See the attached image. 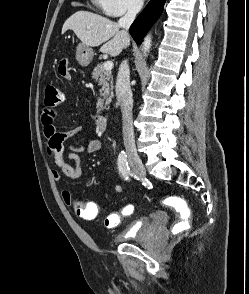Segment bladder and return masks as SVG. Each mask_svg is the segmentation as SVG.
<instances>
[{
	"label": "bladder",
	"instance_id": "31cf9c89",
	"mask_svg": "<svg viewBox=\"0 0 249 294\" xmlns=\"http://www.w3.org/2000/svg\"><path fill=\"white\" fill-rule=\"evenodd\" d=\"M166 221V216H156L155 218L139 217L127 230L119 233L115 239L121 243L129 240H142L143 238L149 237Z\"/></svg>",
	"mask_w": 249,
	"mask_h": 294
}]
</instances>
